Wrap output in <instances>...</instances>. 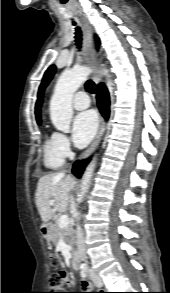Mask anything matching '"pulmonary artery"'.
<instances>
[{
    "label": "pulmonary artery",
    "mask_w": 170,
    "mask_h": 293,
    "mask_svg": "<svg viewBox=\"0 0 170 293\" xmlns=\"http://www.w3.org/2000/svg\"><path fill=\"white\" fill-rule=\"evenodd\" d=\"M72 105L77 110L88 108L90 106L88 95L83 91L77 92L73 97Z\"/></svg>",
    "instance_id": "e3ab8cb5"
}]
</instances>
